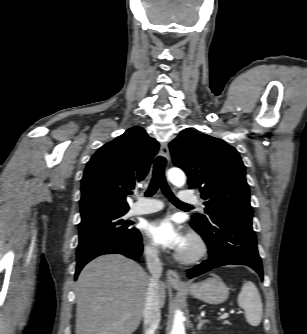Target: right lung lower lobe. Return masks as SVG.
<instances>
[{
  "instance_id": "98d812e1",
  "label": "right lung lower lobe",
  "mask_w": 307,
  "mask_h": 334,
  "mask_svg": "<svg viewBox=\"0 0 307 334\" xmlns=\"http://www.w3.org/2000/svg\"><path fill=\"white\" fill-rule=\"evenodd\" d=\"M142 238L139 234L134 241L118 247H103L96 249L77 259L75 278H77L81 269L92 259L104 254H122L128 258L137 260L142 254Z\"/></svg>"
}]
</instances>
